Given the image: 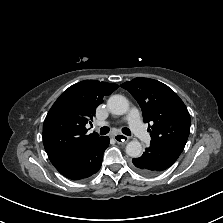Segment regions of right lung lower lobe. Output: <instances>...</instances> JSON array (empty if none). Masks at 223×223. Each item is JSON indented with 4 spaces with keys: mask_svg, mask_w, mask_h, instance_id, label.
I'll return each mask as SVG.
<instances>
[{
    "mask_svg": "<svg viewBox=\"0 0 223 223\" xmlns=\"http://www.w3.org/2000/svg\"><path fill=\"white\" fill-rule=\"evenodd\" d=\"M109 145V137H101L82 153L54 165L65 177L80 180L90 177L99 171L103 153Z\"/></svg>",
    "mask_w": 223,
    "mask_h": 223,
    "instance_id": "98d812e1",
    "label": "right lung lower lobe"
}]
</instances>
